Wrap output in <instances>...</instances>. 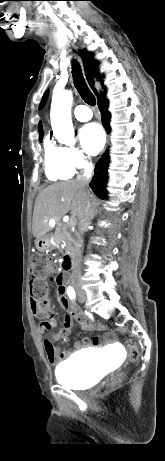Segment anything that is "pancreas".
<instances>
[{
  "mask_svg": "<svg viewBox=\"0 0 165 461\" xmlns=\"http://www.w3.org/2000/svg\"><path fill=\"white\" fill-rule=\"evenodd\" d=\"M55 241H63L66 244V248L71 252L76 250L77 243L74 238L70 235L66 228H58L55 233Z\"/></svg>",
  "mask_w": 165,
  "mask_h": 461,
  "instance_id": "pancreas-1",
  "label": "pancreas"
}]
</instances>
